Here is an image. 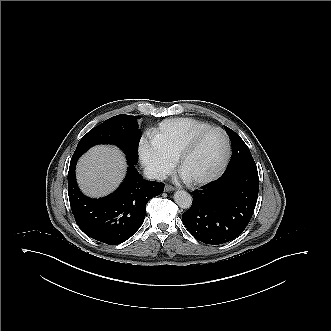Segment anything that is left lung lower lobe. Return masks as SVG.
<instances>
[{
    "label": "left lung lower lobe",
    "mask_w": 331,
    "mask_h": 331,
    "mask_svg": "<svg viewBox=\"0 0 331 331\" xmlns=\"http://www.w3.org/2000/svg\"><path fill=\"white\" fill-rule=\"evenodd\" d=\"M258 172L237 170L224 173L193 193V203L182 215L188 231L212 245L238 237L249 223L257 202Z\"/></svg>",
    "instance_id": "0a47b994"
}]
</instances>
